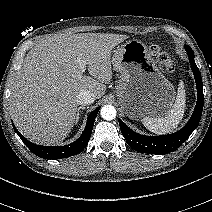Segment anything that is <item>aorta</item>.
Here are the masks:
<instances>
[{"mask_svg": "<svg viewBox=\"0 0 212 212\" xmlns=\"http://www.w3.org/2000/svg\"><path fill=\"white\" fill-rule=\"evenodd\" d=\"M101 117L105 120H113L116 117V109L112 105H104L100 110Z\"/></svg>", "mask_w": 212, "mask_h": 212, "instance_id": "obj_1", "label": "aorta"}]
</instances>
